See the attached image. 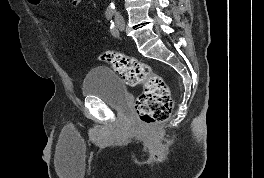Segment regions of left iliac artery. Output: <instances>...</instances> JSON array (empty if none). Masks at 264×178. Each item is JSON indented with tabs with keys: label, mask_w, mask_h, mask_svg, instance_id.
Masks as SVG:
<instances>
[{
	"label": "left iliac artery",
	"mask_w": 264,
	"mask_h": 178,
	"mask_svg": "<svg viewBox=\"0 0 264 178\" xmlns=\"http://www.w3.org/2000/svg\"><path fill=\"white\" fill-rule=\"evenodd\" d=\"M110 31H111L113 36H115V37L118 36V31H117L116 26H115L113 21H111Z\"/></svg>",
	"instance_id": "1"
}]
</instances>
